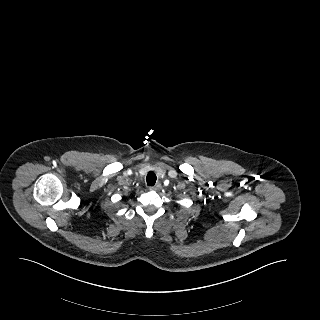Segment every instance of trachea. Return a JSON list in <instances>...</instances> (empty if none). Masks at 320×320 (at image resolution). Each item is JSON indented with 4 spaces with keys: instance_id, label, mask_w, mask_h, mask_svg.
<instances>
[{
    "instance_id": "trachea-1",
    "label": "trachea",
    "mask_w": 320,
    "mask_h": 320,
    "mask_svg": "<svg viewBox=\"0 0 320 320\" xmlns=\"http://www.w3.org/2000/svg\"><path fill=\"white\" fill-rule=\"evenodd\" d=\"M156 180H157V177L155 173L149 172L146 177L147 185L153 186L156 183Z\"/></svg>"
}]
</instances>
